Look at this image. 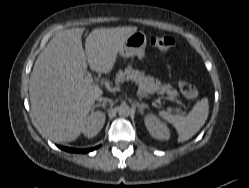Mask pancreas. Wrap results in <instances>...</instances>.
Returning a JSON list of instances; mask_svg holds the SVG:
<instances>
[{
  "label": "pancreas",
  "mask_w": 249,
  "mask_h": 188,
  "mask_svg": "<svg viewBox=\"0 0 249 188\" xmlns=\"http://www.w3.org/2000/svg\"><path fill=\"white\" fill-rule=\"evenodd\" d=\"M127 80H133L138 83L139 90L144 94H164L169 96L170 100H176L178 92L173 89L170 84H162L161 81L155 80L153 77L145 76L144 72L135 70L129 65L124 70H119L115 76V84H120Z\"/></svg>",
  "instance_id": "cf45deb5"
}]
</instances>
